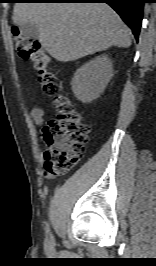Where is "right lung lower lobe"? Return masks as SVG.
<instances>
[{"instance_id":"right-lung-lower-lobe-1","label":"right lung lower lobe","mask_w":156,"mask_h":266,"mask_svg":"<svg viewBox=\"0 0 156 266\" xmlns=\"http://www.w3.org/2000/svg\"><path fill=\"white\" fill-rule=\"evenodd\" d=\"M50 3H107L123 19V21L132 29V32L138 40L143 18L144 0H28Z\"/></svg>"}]
</instances>
